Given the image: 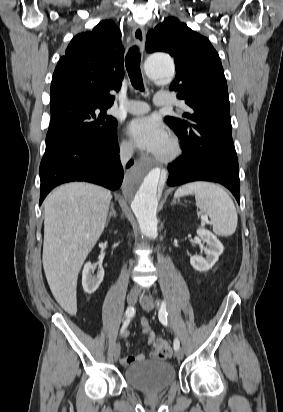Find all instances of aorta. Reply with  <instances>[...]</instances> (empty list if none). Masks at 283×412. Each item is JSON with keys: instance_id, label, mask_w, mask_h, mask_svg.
Instances as JSON below:
<instances>
[{"instance_id": "obj_1", "label": "aorta", "mask_w": 283, "mask_h": 412, "mask_svg": "<svg viewBox=\"0 0 283 412\" xmlns=\"http://www.w3.org/2000/svg\"><path fill=\"white\" fill-rule=\"evenodd\" d=\"M144 69L147 77L156 83L169 82L175 73L173 60L163 53L149 56ZM160 177V168H137L126 175L123 183V192L132 201L131 207L142 234L151 238L157 236V188Z\"/></svg>"}]
</instances>
